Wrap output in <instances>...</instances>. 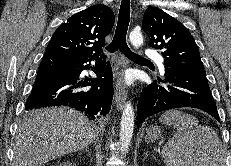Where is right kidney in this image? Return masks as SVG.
Instances as JSON below:
<instances>
[{"label": "right kidney", "mask_w": 231, "mask_h": 166, "mask_svg": "<svg viewBox=\"0 0 231 166\" xmlns=\"http://www.w3.org/2000/svg\"><path fill=\"white\" fill-rule=\"evenodd\" d=\"M59 166H76V164L71 163V162H64V163L60 164Z\"/></svg>", "instance_id": "ca27d5eb"}]
</instances>
